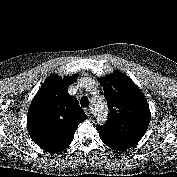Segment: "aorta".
<instances>
[{
  "mask_svg": "<svg viewBox=\"0 0 177 177\" xmlns=\"http://www.w3.org/2000/svg\"><path fill=\"white\" fill-rule=\"evenodd\" d=\"M95 110L97 111V117L100 121L104 122L107 116L106 101L102 96H95L92 100Z\"/></svg>",
  "mask_w": 177,
  "mask_h": 177,
  "instance_id": "obj_1",
  "label": "aorta"
}]
</instances>
